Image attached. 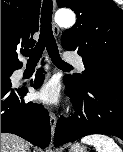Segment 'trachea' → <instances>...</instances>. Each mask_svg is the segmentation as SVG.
I'll return each instance as SVG.
<instances>
[{"mask_svg": "<svg viewBox=\"0 0 123 152\" xmlns=\"http://www.w3.org/2000/svg\"><path fill=\"white\" fill-rule=\"evenodd\" d=\"M51 21L52 0H44L41 10V29L39 40L34 48L25 50L23 55L29 57L28 64H37L46 48L54 65L59 68L70 69L72 66L64 62L59 56L57 44L53 36Z\"/></svg>", "mask_w": 123, "mask_h": 152, "instance_id": "1", "label": "trachea"}]
</instances>
